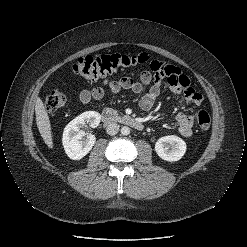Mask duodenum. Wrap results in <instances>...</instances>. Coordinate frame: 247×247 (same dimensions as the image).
<instances>
[{
  "label": "duodenum",
  "mask_w": 247,
  "mask_h": 247,
  "mask_svg": "<svg viewBox=\"0 0 247 247\" xmlns=\"http://www.w3.org/2000/svg\"><path fill=\"white\" fill-rule=\"evenodd\" d=\"M101 118L106 124L120 122L139 131L144 129V125L141 121L130 116H120L109 108L102 111Z\"/></svg>",
  "instance_id": "obj_1"
}]
</instances>
